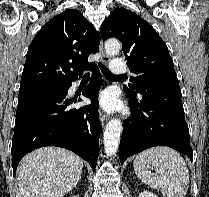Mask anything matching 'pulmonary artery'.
<instances>
[{
	"mask_svg": "<svg viewBox=\"0 0 209 197\" xmlns=\"http://www.w3.org/2000/svg\"><path fill=\"white\" fill-rule=\"evenodd\" d=\"M111 71L115 74H126L129 73V69L126 66L124 60L120 57L114 59L110 65Z\"/></svg>",
	"mask_w": 209,
	"mask_h": 197,
	"instance_id": "obj_1",
	"label": "pulmonary artery"
}]
</instances>
